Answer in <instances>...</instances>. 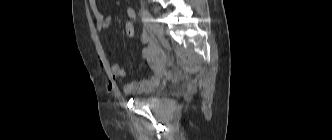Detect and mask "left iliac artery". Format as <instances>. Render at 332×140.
I'll use <instances>...</instances> for the list:
<instances>
[{"label":"left iliac artery","mask_w":332,"mask_h":140,"mask_svg":"<svg viewBox=\"0 0 332 140\" xmlns=\"http://www.w3.org/2000/svg\"><path fill=\"white\" fill-rule=\"evenodd\" d=\"M142 20L143 22L148 23L149 26H151L150 23L153 21V19L150 13L146 9L142 10Z\"/></svg>","instance_id":"left-iliac-artery-1"}]
</instances>
